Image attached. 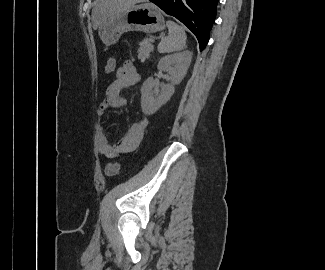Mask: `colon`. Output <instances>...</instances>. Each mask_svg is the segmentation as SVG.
<instances>
[{"label":"colon","instance_id":"obj_1","mask_svg":"<svg viewBox=\"0 0 325 270\" xmlns=\"http://www.w3.org/2000/svg\"><path fill=\"white\" fill-rule=\"evenodd\" d=\"M117 70V60L115 57H109L106 61L105 71L108 74H112ZM120 165L118 163L108 164L105 168V174L107 176H114L119 172Z\"/></svg>","mask_w":325,"mask_h":270}]
</instances>
